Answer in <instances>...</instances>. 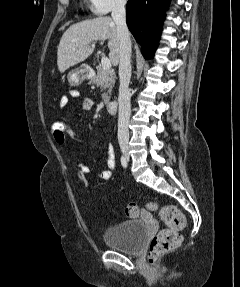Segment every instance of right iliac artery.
I'll use <instances>...</instances> for the list:
<instances>
[{"mask_svg": "<svg viewBox=\"0 0 240 287\" xmlns=\"http://www.w3.org/2000/svg\"><path fill=\"white\" fill-rule=\"evenodd\" d=\"M121 165L126 168L127 167V160L124 156L121 157Z\"/></svg>", "mask_w": 240, "mask_h": 287, "instance_id": "82829eb1", "label": "right iliac artery"}]
</instances>
